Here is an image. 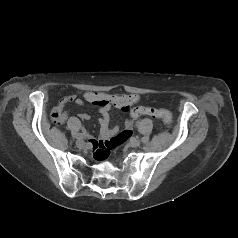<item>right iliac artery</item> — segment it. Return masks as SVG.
I'll return each instance as SVG.
<instances>
[{
    "label": "right iliac artery",
    "mask_w": 238,
    "mask_h": 238,
    "mask_svg": "<svg viewBox=\"0 0 238 238\" xmlns=\"http://www.w3.org/2000/svg\"><path fill=\"white\" fill-rule=\"evenodd\" d=\"M84 136H85V133H79V134L77 135V138H78V139H82V138H84Z\"/></svg>",
    "instance_id": "obj_1"
}]
</instances>
